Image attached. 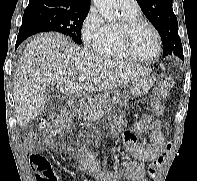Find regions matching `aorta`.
Returning <instances> with one entry per match:
<instances>
[{
    "label": "aorta",
    "instance_id": "aorta-1",
    "mask_svg": "<svg viewBox=\"0 0 197 181\" xmlns=\"http://www.w3.org/2000/svg\"><path fill=\"white\" fill-rule=\"evenodd\" d=\"M99 13L108 21L116 22L119 19L116 0H93Z\"/></svg>",
    "mask_w": 197,
    "mask_h": 181
}]
</instances>
